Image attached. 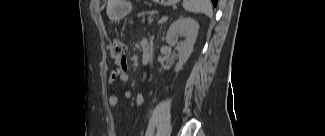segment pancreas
Returning a JSON list of instances; mask_svg holds the SVG:
<instances>
[{"label":"pancreas","mask_w":325,"mask_h":136,"mask_svg":"<svg viewBox=\"0 0 325 136\" xmlns=\"http://www.w3.org/2000/svg\"><path fill=\"white\" fill-rule=\"evenodd\" d=\"M157 10L154 9V7H151L150 5L143 6L141 12L135 13V18L139 19L140 24H156L157 18L156 17H149V16H156Z\"/></svg>","instance_id":"obj_1"}]
</instances>
